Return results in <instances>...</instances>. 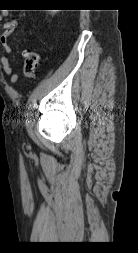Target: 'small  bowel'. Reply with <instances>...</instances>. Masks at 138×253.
Wrapping results in <instances>:
<instances>
[{"label":"small bowel","mask_w":138,"mask_h":253,"mask_svg":"<svg viewBox=\"0 0 138 253\" xmlns=\"http://www.w3.org/2000/svg\"><path fill=\"white\" fill-rule=\"evenodd\" d=\"M18 25V19L15 18L11 21L5 22L2 25L3 32L0 36V44L6 53L12 52V47L9 44V37L13 33L14 29ZM26 51L23 52L25 56ZM2 69L5 74L10 76V83L14 84L18 80V74L15 69L10 65L9 59L7 56H2L0 58Z\"/></svg>","instance_id":"obj_1"}]
</instances>
